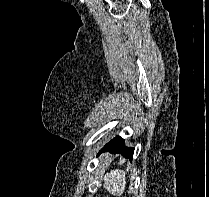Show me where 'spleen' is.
<instances>
[{"mask_svg": "<svg viewBox=\"0 0 209 197\" xmlns=\"http://www.w3.org/2000/svg\"><path fill=\"white\" fill-rule=\"evenodd\" d=\"M103 181L108 192L115 196H121L126 186V174L124 170L115 169L107 173Z\"/></svg>", "mask_w": 209, "mask_h": 197, "instance_id": "obj_1", "label": "spleen"}]
</instances>
